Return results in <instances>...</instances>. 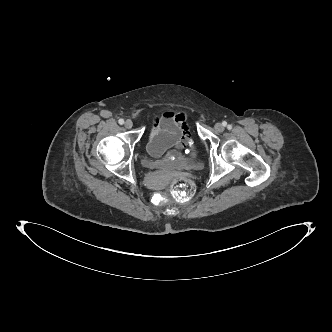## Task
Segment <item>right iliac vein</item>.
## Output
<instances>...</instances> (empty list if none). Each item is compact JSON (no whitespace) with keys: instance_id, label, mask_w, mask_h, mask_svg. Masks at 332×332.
Masks as SVG:
<instances>
[{"instance_id":"63e3f726","label":"right iliac vein","mask_w":332,"mask_h":332,"mask_svg":"<svg viewBox=\"0 0 332 332\" xmlns=\"http://www.w3.org/2000/svg\"><path fill=\"white\" fill-rule=\"evenodd\" d=\"M124 126L126 129H131L133 127V122L131 120H126Z\"/></svg>"}]
</instances>
